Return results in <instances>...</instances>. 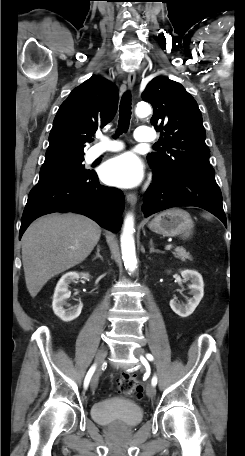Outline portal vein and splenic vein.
Returning <instances> with one entry per match:
<instances>
[{
    "label": "portal vein and splenic vein",
    "instance_id": "1",
    "mask_svg": "<svg viewBox=\"0 0 245 456\" xmlns=\"http://www.w3.org/2000/svg\"><path fill=\"white\" fill-rule=\"evenodd\" d=\"M173 247H174V246H173L172 244H168V245H166L165 249H166V250H170V249H172Z\"/></svg>",
    "mask_w": 245,
    "mask_h": 456
}]
</instances>
